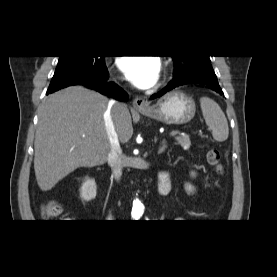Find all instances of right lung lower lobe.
Returning <instances> with one entry per match:
<instances>
[{
	"label": "right lung lower lobe",
	"instance_id": "right-lung-lower-lobe-1",
	"mask_svg": "<svg viewBox=\"0 0 277 277\" xmlns=\"http://www.w3.org/2000/svg\"><path fill=\"white\" fill-rule=\"evenodd\" d=\"M73 85H84L91 89H95L96 91L100 92L101 94H108L109 96H111L115 99H118V100L127 101V99H128V94L122 88H120L119 86H117L114 83H107V79L100 83H96V82L90 81V80H85V81L75 83ZM55 91H57V90H53V91L48 90L47 94H50Z\"/></svg>",
	"mask_w": 277,
	"mask_h": 277
}]
</instances>
